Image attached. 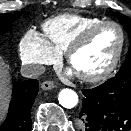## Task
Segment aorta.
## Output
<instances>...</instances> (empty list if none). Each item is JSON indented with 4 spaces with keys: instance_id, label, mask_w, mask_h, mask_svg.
<instances>
[{
    "instance_id": "obj_1",
    "label": "aorta",
    "mask_w": 131,
    "mask_h": 131,
    "mask_svg": "<svg viewBox=\"0 0 131 131\" xmlns=\"http://www.w3.org/2000/svg\"><path fill=\"white\" fill-rule=\"evenodd\" d=\"M58 101L64 108L71 109L78 104V95L75 91L65 88L59 92Z\"/></svg>"
}]
</instances>
